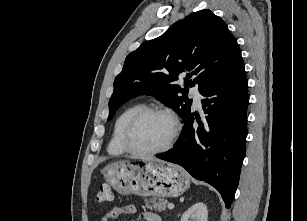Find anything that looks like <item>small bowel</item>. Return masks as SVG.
<instances>
[{"instance_id":"c3829d8e","label":"small bowel","mask_w":307,"mask_h":221,"mask_svg":"<svg viewBox=\"0 0 307 221\" xmlns=\"http://www.w3.org/2000/svg\"><path fill=\"white\" fill-rule=\"evenodd\" d=\"M136 207L133 205H124L121 207H114L107 210L99 221H109L119 217L121 214L132 215L136 213ZM144 218L146 221H162L161 217L153 212H145Z\"/></svg>"}]
</instances>
